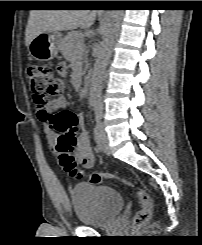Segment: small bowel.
Instances as JSON below:
<instances>
[{
  "label": "small bowel",
  "mask_w": 202,
  "mask_h": 245,
  "mask_svg": "<svg viewBox=\"0 0 202 245\" xmlns=\"http://www.w3.org/2000/svg\"><path fill=\"white\" fill-rule=\"evenodd\" d=\"M66 100L64 97H58L55 99L51 105L49 106L50 111H60L65 108ZM82 119V116H79ZM43 128L45 133L47 134V139L49 142L54 141V135L51 133V128L48 123L44 121ZM75 155L78 161H80L86 168H91L94 164V155L92 152V147L90 144V138L86 131H83V135L80 138L78 145L75 150Z\"/></svg>",
  "instance_id": "1"
}]
</instances>
